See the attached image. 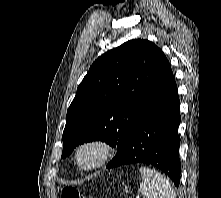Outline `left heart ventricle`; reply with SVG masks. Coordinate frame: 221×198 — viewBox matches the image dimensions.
Instances as JSON below:
<instances>
[{
    "instance_id": "1",
    "label": "left heart ventricle",
    "mask_w": 221,
    "mask_h": 198,
    "mask_svg": "<svg viewBox=\"0 0 221 198\" xmlns=\"http://www.w3.org/2000/svg\"><path fill=\"white\" fill-rule=\"evenodd\" d=\"M94 159V153L92 151H85L81 155V160L83 163H89Z\"/></svg>"
}]
</instances>
